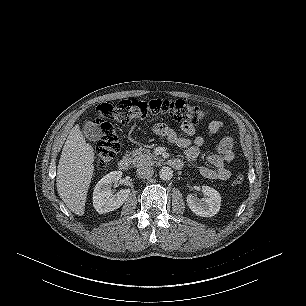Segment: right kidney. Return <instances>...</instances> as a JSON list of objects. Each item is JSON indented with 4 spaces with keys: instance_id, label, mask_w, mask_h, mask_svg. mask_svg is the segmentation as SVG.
<instances>
[{
    "instance_id": "1",
    "label": "right kidney",
    "mask_w": 306,
    "mask_h": 306,
    "mask_svg": "<svg viewBox=\"0 0 306 306\" xmlns=\"http://www.w3.org/2000/svg\"><path fill=\"white\" fill-rule=\"evenodd\" d=\"M121 177V171H112L96 184L93 192V206L99 214L114 211L127 200L130 194L129 189H122L116 194H113L111 189L113 183L117 184Z\"/></svg>"
}]
</instances>
